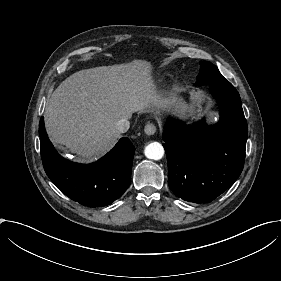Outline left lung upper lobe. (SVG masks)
<instances>
[{"mask_svg":"<svg viewBox=\"0 0 281 281\" xmlns=\"http://www.w3.org/2000/svg\"><path fill=\"white\" fill-rule=\"evenodd\" d=\"M200 73L197 76V81L195 85L204 84H218V85H230L231 83L225 79L218 68L211 62L201 61Z\"/></svg>","mask_w":281,"mask_h":281,"instance_id":"5c2ea615","label":"left lung upper lobe"}]
</instances>
